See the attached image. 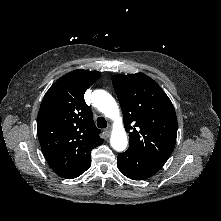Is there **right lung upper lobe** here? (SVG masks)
<instances>
[{
    "instance_id": "cb5924a9",
    "label": "right lung upper lobe",
    "mask_w": 221,
    "mask_h": 221,
    "mask_svg": "<svg viewBox=\"0 0 221 221\" xmlns=\"http://www.w3.org/2000/svg\"><path fill=\"white\" fill-rule=\"evenodd\" d=\"M98 71L74 70L59 78L45 94L38 114L39 142L52 170L67 177L91 161V150L103 143L85 91Z\"/></svg>"
}]
</instances>
